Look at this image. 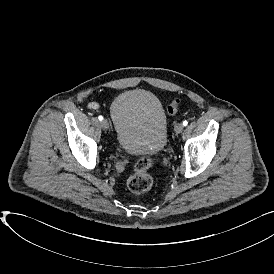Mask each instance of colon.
I'll use <instances>...</instances> for the list:
<instances>
[{
	"instance_id": "5ec220e1",
	"label": "colon",
	"mask_w": 274,
	"mask_h": 274,
	"mask_svg": "<svg viewBox=\"0 0 274 274\" xmlns=\"http://www.w3.org/2000/svg\"><path fill=\"white\" fill-rule=\"evenodd\" d=\"M180 100L172 98L166 106L168 115H174L179 107ZM155 166L150 158H138L133 163V170L127 178V186L133 193H144L154 185V178L149 171Z\"/></svg>"
}]
</instances>
